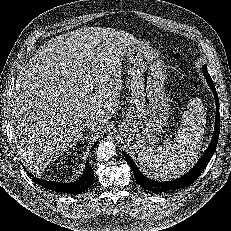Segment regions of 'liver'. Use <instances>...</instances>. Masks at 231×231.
<instances>
[{
  "mask_svg": "<svg viewBox=\"0 0 231 231\" xmlns=\"http://www.w3.org/2000/svg\"><path fill=\"white\" fill-rule=\"evenodd\" d=\"M138 43L132 34L82 27L44 44L20 71L11 99L13 142L30 170H44L82 137L97 132L119 105V55Z\"/></svg>",
  "mask_w": 231,
  "mask_h": 231,
  "instance_id": "6515ba94",
  "label": "liver"
}]
</instances>
